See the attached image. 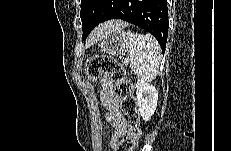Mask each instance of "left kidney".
<instances>
[{"instance_id": "left-kidney-1", "label": "left kidney", "mask_w": 231, "mask_h": 151, "mask_svg": "<svg viewBox=\"0 0 231 151\" xmlns=\"http://www.w3.org/2000/svg\"><path fill=\"white\" fill-rule=\"evenodd\" d=\"M136 89L139 114L143 120L149 121L157 107L158 92L155 86L143 79L137 81Z\"/></svg>"}]
</instances>
